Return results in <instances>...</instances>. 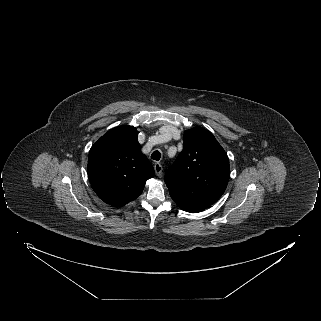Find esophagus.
I'll return each instance as SVG.
<instances>
[{"mask_svg": "<svg viewBox=\"0 0 321 321\" xmlns=\"http://www.w3.org/2000/svg\"><path fill=\"white\" fill-rule=\"evenodd\" d=\"M162 165L160 163H155L154 164V171L157 176H160L162 174Z\"/></svg>", "mask_w": 321, "mask_h": 321, "instance_id": "esophagus-1", "label": "esophagus"}]
</instances>
